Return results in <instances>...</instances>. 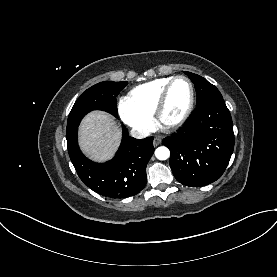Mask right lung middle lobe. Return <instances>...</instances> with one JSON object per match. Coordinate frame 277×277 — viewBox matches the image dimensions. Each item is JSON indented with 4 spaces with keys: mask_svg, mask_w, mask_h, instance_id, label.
<instances>
[{
    "mask_svg": "<svg viewBox=\"0 0 277 277\" xmlns=\"http://www.w3.org/2000/svg\"><path fill=\"white\" fill-rule=\"evenodd\" d=\"M125 82H100L87 89L75 102L68 116L66 135L76 130L82 118L92 110H103L117 117V99Z\"/></svg>",
    "mask_w": 277,
    "mask_h": 277,
    "instance_id": "obj_1",
    "label": "right lung middle lobe"
}]
</instances>
